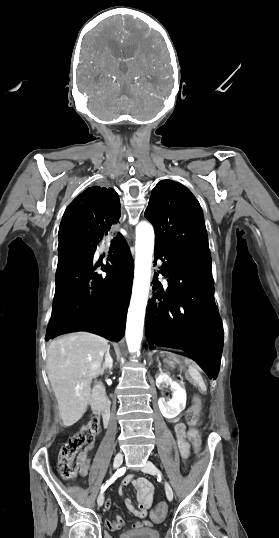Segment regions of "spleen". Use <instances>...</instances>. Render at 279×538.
<instances>
[{"label": "spleen", "instance_id": "3e777b00", "mask_svg": "<svg viewBox=\"0 0 279 538\" xmlns=\"http://www.w3.org/2000/svg\"><path fill=\"white\" fill-rule=\"evenodd\" d=\"M186 364H190L191 360H188V358H185ZM189 374L193 376V379L196 381L197 386L199 388V392L201 394H204L206 392L205 385L203 383V379H201V376L198 374V371L194 366H189Z\"/></svg>", "mask_w": 279, "mask_h": 538}]
</instances>
